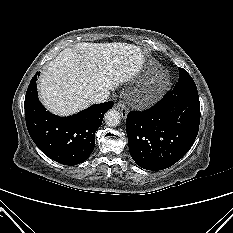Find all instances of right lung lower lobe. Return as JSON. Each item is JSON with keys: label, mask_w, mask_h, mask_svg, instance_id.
Here are the masks:
<instances>
[{"label": "right lung lower lobe", "mask_w": 233, "mask_h": 233, "mask_svg": "<svg viewBox=\"0 0 233 233\" xmlns=\"http://www.w3.org/2000/svg\"><path fill=\"white\" fill-rule=\"evenodd\" d=\"M39 74L31 79L25 96L29 134L38 148L52 160L64 165L80 164L92 153L95 132L114 102L94 104L69 117L53 115L38 100L36 80Z\"/></svg>", "instance_id": "obj_1"}]
</instances>
